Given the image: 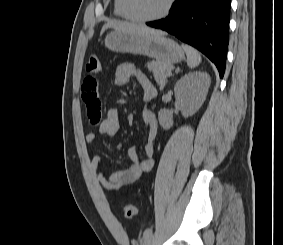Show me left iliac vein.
<instances>
[{
	"label": "left iliac vein",
	"instance_id": "1",
	"mask_svg": "<svg viewBox=\"0 0 283 245\" xmlns=\"http://www.w3.org/2000/svg\"><path fill=\"white\" fill-rule=\"evenodd\" d=\"M155 240V235H150L149 237L145 238L141 245H153Z\"/></svg>",
	"mask_w": 283,
	"mask_h": 245
}]
</instances>
